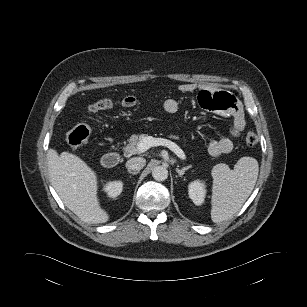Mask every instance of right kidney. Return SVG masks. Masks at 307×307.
<instances>
[{
  "mask_svg": "<svg viewBox=\"0 0 307 307\" xmlns=\"http://www.w3.org/2000/svg\"><path fill=\"white\" fill-rule=\"evenodd\" d=\"M123 189V183L121 181L109 182L105 185L104 190L111 198H116L121 194Z\"/></svg>",
  "mask_w": 307,
  "mask_h": 307,
  "instance_id": "1",
  "label": "right kidney"
}]
</instances>
